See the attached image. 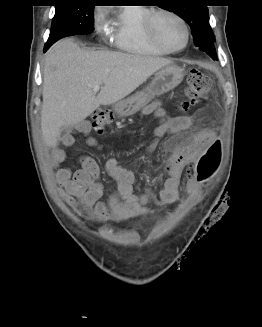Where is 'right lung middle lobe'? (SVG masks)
I'll use <instances>...</instances> for the list:
<instances>
[{"label": "right lung middle lobe", "instance_id": "right-lung-middle-lobe-1", "mask_svg": "<svg viewBox=\"0 0 262 327\" xmlns=\"http://www.w3.org/2000/svg\"><path fill=\"white\" fill-rule=\"evenodd\" d=\"M55 6V16L51 24L49 38L44 46L48 49L55 41L60 38L89 34L94 26V6L78 5L79 1H64Z\"/></svg>", "mask_w": 262, "mask_h": 327}]
</instances>
